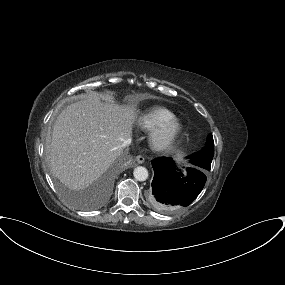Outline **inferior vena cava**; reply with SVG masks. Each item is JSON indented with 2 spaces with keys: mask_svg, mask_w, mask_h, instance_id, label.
Returning <instances> with one entry per match:
<instances>
[{
  "mask_svg": "<svg viewBox=\"0 0 285 285\" xmlns=\"http://www.w3.org/2000/svg\"><path fill=\"white\" fill-rule=\"evenodd\" d=\"M131 144V138H127L123 141L121 147L124 148V147H127Z\"/></svg>",
  "mask_w": 285,
  "mask_h": 285,
  "instance_id": "obj_1",
  "label": "inferior vena cava"
}]
</instances>
